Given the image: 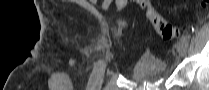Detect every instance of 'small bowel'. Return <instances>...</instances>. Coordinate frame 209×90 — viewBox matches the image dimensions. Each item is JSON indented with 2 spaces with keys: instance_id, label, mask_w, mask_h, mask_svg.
<instances>
[{
  "instance_id": "1",
  "label": "small bowel",
  "mask_w": 209,
  "mask_h": 90,
  "mask_svg": "<svg viewBox=\"0 0 209 90\" xmlns=\"http://www.w3.org/2000/svg\"><path fill=\"white\" fill-rule=\"evenodd\" d=\"M111 1L110 0H105L102 4V9L107 10L110 6Z\"/></svg>"
}]
</instances>
